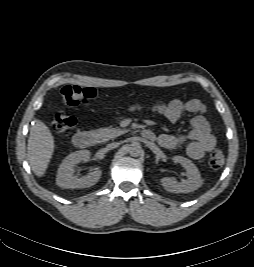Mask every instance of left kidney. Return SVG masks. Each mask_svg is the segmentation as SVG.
Returning a JSON list of instances; mask_svg holds the SVG:
<instances>
[{"label":"left kidney","instance_id":"obj_1","mask_svg":"<svg viewBox=\"0 0 254 267\" xmlns=\"http://www.w3.org/2000/svg\"><path fill=\"white\" fill-rule=\"evenodd\" d=\"M173 161L185 168L187 179L177 182L173 178L164 177L161 179V183L165 190L172 193H189L201 187L203 180L198 168L191 160L182 156H174Z\"/></svg>","mask_w":254,"mask_h":267}]
</instances>
